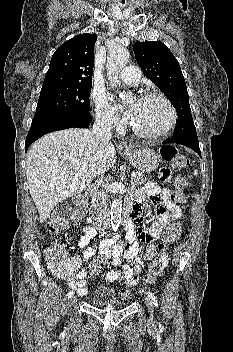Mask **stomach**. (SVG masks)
Returning a JSON list of instances; mask_svg holds the SVG:
<instances>
[{
    "label": "stomach",
    "instance_id": "stomach-1",
    "mask_svg": "<svg viewBox=\"0 0 233 352\" xmlns=\"http://www.w3.org/2000/svg\"><path fill=\"white\" fill-rule=\"evenodd\" d=\"M123 154L140 172H151L160 162V155L148 147H131L123 150Z\"/></svg>",
    "mask_w": 233,
    "mask_h": 352
}]
</instances>
